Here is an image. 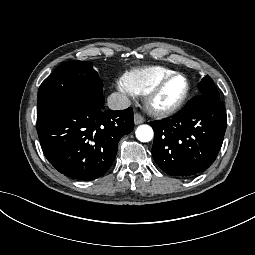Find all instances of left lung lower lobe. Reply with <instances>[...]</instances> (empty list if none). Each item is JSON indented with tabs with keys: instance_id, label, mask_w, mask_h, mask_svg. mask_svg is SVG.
<instances>
[{
	"instance_id": "obj_1",
	"label": "left lung lower lobe",
	"mask_w": 255,
	"mask_h": 255,
	"mask_svg": "<svg viewBox=\"0 0 255 255\" xmlns=\"http://www.w3.org/2000/svg\"><path fill=\"white\" fill-rule=\"evenodd\" d=\"M151 125L154 129L151 152L156 164L171 176L191 178L216 159L227 116L220 99L201 94L176 115Z\"/></svg>"
}]
</instances>
